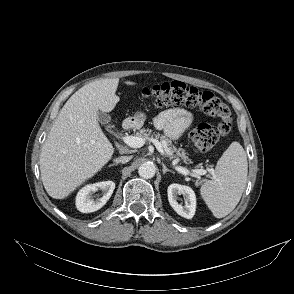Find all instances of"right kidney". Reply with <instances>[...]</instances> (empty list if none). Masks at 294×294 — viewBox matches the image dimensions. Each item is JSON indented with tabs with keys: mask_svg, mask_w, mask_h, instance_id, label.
Returning <instances> with one entry per match:
<instances>
[{
	"mask_svg": "<svg viewBox=\"0 0 294 294\" xmlns=\"http://www.w3.org/2000/svg\"><path fill=\"white\" fill-rule=\"evenodd\" d=\"M115 189L113 181H103L83 187L76 196V207L82 213L95 212L101 209L110 199ZM102 190V197L92 198V194Z\"/></svg>",
	"mask_w": 294,
	"mask_h": 294,
	"instance_id": "ca27d5eb",
	"label": "right kidney"
}]
</instances>
